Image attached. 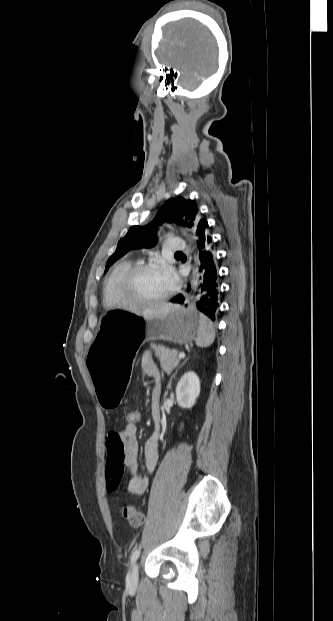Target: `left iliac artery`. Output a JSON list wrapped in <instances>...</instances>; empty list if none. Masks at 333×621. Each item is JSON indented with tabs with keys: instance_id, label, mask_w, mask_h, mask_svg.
<instances>
[{
	"instance_id": "1",
	"label": "left iliac artery",
	"mask_w": 333,
	"mask_h": 621,
	"mask_svg": "<svg viewBox=\"0 0 333 621\" xmlns=\"http://www.w3.org/2000/svg\"><path fill=\"white\" fill-rule=\"evenodd\" d=\"M139 555H140V548H139V549H136V550L132 553V555H131V559H130L131 564H133V563H134V562L138 559Z\"/></svg>"
}]
</instances>
